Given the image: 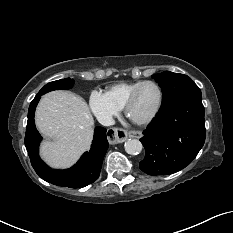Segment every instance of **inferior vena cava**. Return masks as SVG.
Returning a JSON list of instances; mask_svg holds the SVG:
<instances>
[{
    "instance_id": "602c4592",
    "label": "inferior vena cava",
    "mask_w": 233,
    "mask_h": 233,
    "mask_svg": "<svg viewBox=\"0 0 233 233\" xmlns=\"http://www.w3.org/2000/svg\"><path fill=\"white\" fill-rule=\"evenodd\" d=\"M98 121L104 126H111L115 124V121L111 115H102L99 117Z\"/></svg>"
}]
</instances>
